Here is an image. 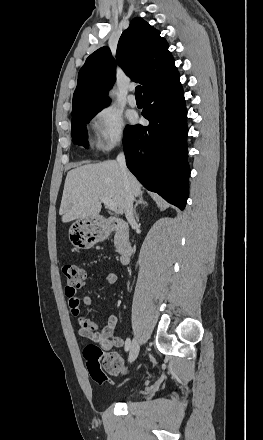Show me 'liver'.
I'll use <instances>...</instances> for the list:
<instances>
[{"instance_id": "obj_1", "label": "liver", "mask_w": 263, "mask_h": 440, "mask_svg": "<svg viewBox=\"0 0 263 440\" xmlns=\"http://www.w3.org/2000/svg\"><path fill=\"white\" fill-rule=\"evenodd\" d=\"M129 187L133 196L143 194L141 184L131 173ZM101 197L112 199L120 214L125 212V183L117 161L85 164L70 170L59 209L62 222L98 216L102 208Z\"/></svg>"}]
</instances>
